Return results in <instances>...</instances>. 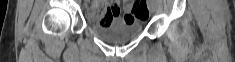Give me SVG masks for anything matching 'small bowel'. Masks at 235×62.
Listing matches in <instances>:
<instances>
[{
  "label": "small bowel",
  "mask_w": 235,
  "mask_h": 62,
  "mask_svg": "<svg viewBox=\"0 0 235 62\" xmlns=\"http://www.w3.org/2000/svg\"><path fill=\"white\" fill-rule=\"evenodd\" d=\"M124 8L126 11H129L131 2L125 1ZM105 13H108L111 23L117 20L120 16V1L115 0L110 2L106 8H104V3L95 1L88 8V18L92 22H100ZM128 19H130V13L125 14L122 18L125 21Z\"/></svg>",
  "instance_id": "obj_1"
}]
</instances>
